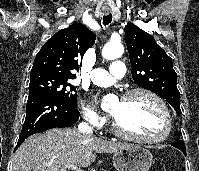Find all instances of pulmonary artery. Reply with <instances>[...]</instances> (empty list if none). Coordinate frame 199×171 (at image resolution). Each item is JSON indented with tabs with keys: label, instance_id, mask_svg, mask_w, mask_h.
I'll return each instance as SVG.
<instances>
[{
	"label": "pulmonary artery",
	"instance_id": "pulmonary-artery-1",
	"mask_svg": "<svg viewBox=\"0 0 199 171\" xmlns=\"http://www.w3.org/2000/svg\"><path fill=\"white\" fill-rule=\"evenodd\" d=\"M125 65L120 60H115L111 63L109 71L104 69H93L91 72V80L94 84L102 87L112 85L116 79L124 76Z\"/></svg>",
	"mask_w": 199,
	"mask_h": 171
}]
</instances>
